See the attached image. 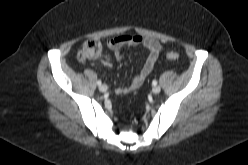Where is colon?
I'll return each mask as SVG.
<instances>
[{
	"label": "colon",
	"instance_id": "obj_1",
	"mask_svg": "<svg viewBox=\"0 0 248 165\" xmlns=\"http://www.w3.org/2000/svg\"><path fill=\"white\" fill-rule=\"evenodd\" d=\"M102 53V45L97 40L85 41L80 50L78 51L77 58L81 62H87L97 59ZM167 58L171 61H175L179 58L177 52H169Z\"/></svg>",
	"mask_w": 248,
	"mask_h": 165
}]
</instances>
